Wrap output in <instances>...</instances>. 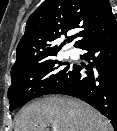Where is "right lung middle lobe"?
Instances as JSON below:
<instances>
[{"label":"right lung middle lobe","mask_w":117,"mask_h":131,"mask_svg":"<svg viewBox=\"0 0 117 131\" xmlns=\"http://www.w3.org/2000/svg\"><path fill=\"white\" fill-rule=\"evenodd\" d=\"M57 53H50L35 63L11 70L12 84L8 89L10 111L36 97L51 94L62 85L71 66L55 60ZM62 65L67 67L62 68Z\"/></svg>","instance_id":"obj_1"}]
</instances>
